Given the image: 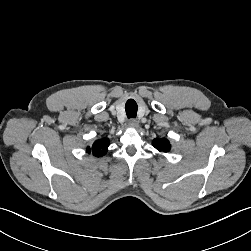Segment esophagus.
Returning <instances> with one entry per match:
<instances>
[{
	"label": "esophagus",
	"mask_w": 251,
	"mask_h": 251,
	"mask_svg": "<svg viewBox=\"0 0 251 251\" xmlns=\"http://www.w3.org/2000/svg\"><path fill=\"white\" fill-rule=\"evenodd\" d=\"M128 126L130 128H138L139 127V122L136 119L132 118V119H130V121L128 123Z\"/></svg>",
	"instance_id": "34e87169"
}]
</instances>
